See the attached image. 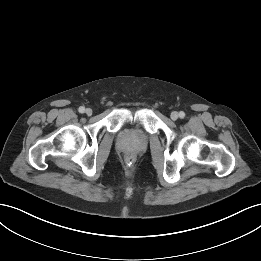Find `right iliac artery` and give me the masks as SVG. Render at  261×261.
I'll return each mask as SVG.
<instances>
[{"label": "right iliac artery", "instance_id": "right-iliac-artery-1", "mask_svg": "<svg viewBox=\"0 0 261 261\" xmlns=\"http://www.w3.org/2000/svg\"><path fill=\"white\" fill-rule=\"evenodd\" d=\"M78 111L80 113H84L85 112V107H83V106L79 107Z\"/></svg>", "mask_w": 261, "mask_h": 261}]
</instances>
